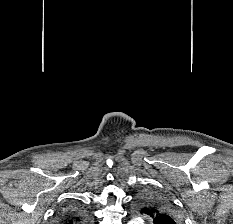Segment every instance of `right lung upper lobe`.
<instances>
[{"label": "right lung upper lobe", "mask_w": 233, "mask_h": 224, "mask_svg": "<svg viewBox=\"0 0 233 224\" xmlns=\"http://www.w3.org/2000/svg\"><path fill=\"white\" fill-rule=\"evenodd\" d=\"M56 221L57 224H89V219L86 213L75 207L63 210Z\"/></svg>", "instance_id": "obj_1"}]
</instances>
